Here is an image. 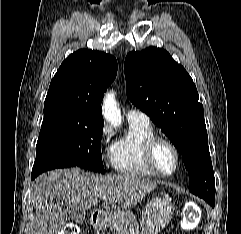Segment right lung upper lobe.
Listing matches in <instances>:
<instances>
[{
	"instance_id": "1",
	"label": "right lung upper lobe",
	"mask_w": 241,
	"mask_h": 234,
	"mask_svg": "<svg viewBox=\"0 0 241 234\" xmlns=\"http://www.w3.org/2000/svg\"><path fill=\"white\" fill-rule=\"evenodd\" d=\"M117 68L116 59L109 54L88 49L74 52L53 77L44 109H72L84 119L103 121L101 101Z\"/></svg>"
}]
</instances>
